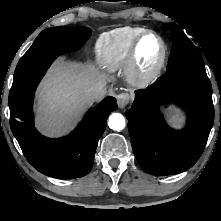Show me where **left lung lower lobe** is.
Returning <instances> with one entry per match:
<instances>
[{
	"label": "left lung lower lobe",
	"mask_w": 221,
	"mask_h": 221,
	"mask_svg": "<svg viewBox=\"0 0 221 221\" xmlns=\"http://www.w3.org/2000/svg\"><path fill=\"white\" fill-rule=\"evenodd\" d=\"M126 111L134 154L141 168L156 176L173 175L192 167L206 145L214 121L212 88L207 74L177 70L166 72ZM174 101L188 115L185 129L167 126L158 106Z\"/></svg>",
	"instance_id": "1"
}]
</instances>
